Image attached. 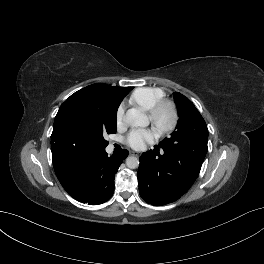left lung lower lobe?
<instances>
[{"label": "left lung lower lobe", "mask_w": 264, "mask_h": 264, "mask_svg": "<svg viewBox=\"0 0 264 264\" xmlns=\"http://www.w3.org/2000/svg\"><path fill=\"white\" fill-rule=\"evenodd\" d=\"M207 153V140L184 144L181 148L155 146L140 157V196L152 205L178 200L196 180Z\"/></svg>", "instance_id": "1"}]
</instances>
